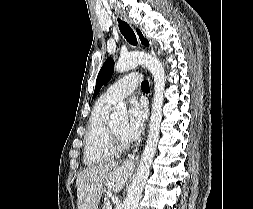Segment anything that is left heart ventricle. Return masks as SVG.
<instances>
[{
  "label": "left heart ventricle",
  "mask_w": 253,
  "mask_h": 209,
  "mask_svg": "<svg viewBox=\"0 0 253 209\" xmlns=\"http://www.w3.org/2000/svg\"><path fill=\"white\" fill-rule=\"evenodd\" d=\"M126 126V121L123 120V121H119V122H116L114 124L111 125V127L113 128L114 132L118 135V137L120 139H122L123 141H125V139L123 138V131H124V128ZM126 142V141H125Z\"/></svg>",
  "instance_id": "b2bd125f"
}]
</instances>
